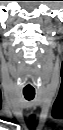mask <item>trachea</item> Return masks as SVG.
Returning <instances> with one entry per match:
<instances>
[{"mask_svg":"<svg viewBox=\"0 0 63 130\" xmlns=\"http://www.w3.org/2000/svg\"><path fill=\"white\" fill-rule=\"evenodd\" d=\"M23 95H24V98L27 100V101H31L34 99L35 97V93L34 92H23Z\"/></svg>","mask_w":63,"mask_h":130,"instance_id":"3493384b","label":"trachea"}]
</instances>
